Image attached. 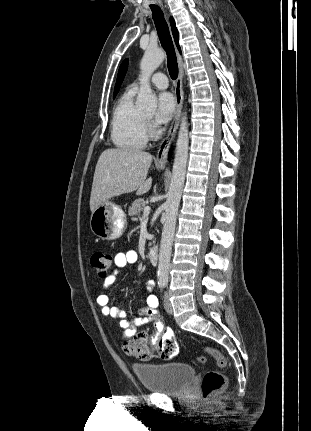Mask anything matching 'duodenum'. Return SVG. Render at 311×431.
I'll return each mask as SVG.
<instances>
[{
	"label": "duodenum",
	"instance_id": "duodenum-1",
	"mask_svg": "<svg viewBox=\"0 0 311 431\" xmlns=\"http://www.w3.org/2000/svg\"><path fill=\"white\" fill-rule=\"evenodd\" d=\"M148 258L152 264H156L158 261L159 251L156 245L151 246L147 252Z\"/></svg>",
	"mask_w": 311,
	"mask_h": 431
}]
</instances>
